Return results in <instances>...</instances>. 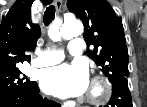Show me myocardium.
<instances>
[{"instance_id":"1","label":"myocardium","mask_w":147,"mask_h":107,"mask_svg":"<svg viewBox=\"0 0 147 107\" xmlns=\"http://www.w3.org/2000/svg\"><path fill=\"white\" fill-rule=\"evenodd\" d=\"M111 93V86L103 78H95L90 86L88 101L93 104L104 102Z\"/></svg>"}]
</instances>
